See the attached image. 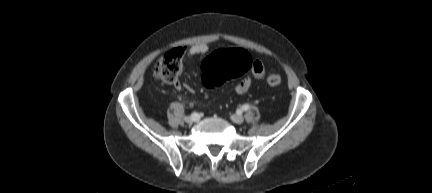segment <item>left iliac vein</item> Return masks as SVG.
<instances>
[{
  "label": "left iliac vein",
  "mask_w": 432,
  "mask_h": 193,
  "mask_svg": "<svg viewBox=\"0 0 432 193\" xmlns=\"http://www.w3.org/2000/svg\"><path fill=\"white\" fill-rule=\"evenodd\" d=\"M231 119L236 124H241L244 121V117L242 115H239V114H235V115L231 116Z\"/></svg>",
  "instance_id": "left-iliac-vein-1"
}]
</instances>
